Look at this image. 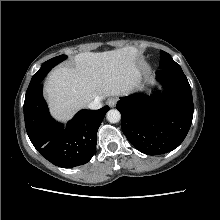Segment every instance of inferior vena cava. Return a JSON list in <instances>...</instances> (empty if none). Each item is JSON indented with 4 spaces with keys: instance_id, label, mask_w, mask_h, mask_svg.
I'll list each match as a JSON object with an SVG mask.
<instances>
[{
    "instance_id": "inferior-vena-cava-1",
    "label": "inferior vena cava",
    "mask_w": 220,
    "mask_h": 220,
    "mask_svg": "<svg viewBox=\"0 0 220 220\" xmlns=\"http://www.w3.org/2000/svg\"><path fill=\"white\" fill-rule=\"evenodd\" d=\"M87 107L92 110L100 109L102 107V98H96L90 102Z\"/></svg>"
}]
</instances>
